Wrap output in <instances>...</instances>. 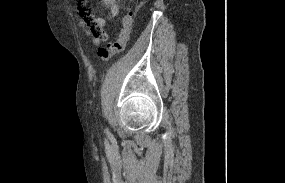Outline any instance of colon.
<instances>
[{"label":"colon","mask_w":285,"mask_h":183,"mask_svg":"<svg viewBox=\"0 0 285 183\" xmlns=\"http://www.w3.org/2000/svg\"><path fill=\"white\" fill-rule=\"evenodd\" d=\"M134 21V11L131 7H127L126 12L122 18V28L119 37L116 41L102 47L98 50V56L102 62L110 60L113 56L121 53L126 48Z\"/></svg>","instance_id":"5ec220e1"}]
</instances>
